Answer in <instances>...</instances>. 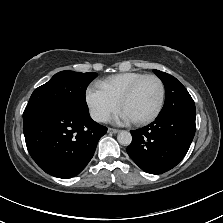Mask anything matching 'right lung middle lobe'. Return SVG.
<instances>
[{
    "mask_svg": "<svg viewBox=\"0 0 223 223\" xmlns=\"http://www.w3.org/2000/svg\"><path fill=\"white\" fill-rule=\"evenodd\" d=\"M97 73L61 71L32 93L23 117L49 111L75 112L88 115L85 92Z\"/></svg>",
    "mask_w": 223,
    "mask_h": 223,
    "instance_id": "obj_1",
    "label": "right lung middle lobe"
}]
</instances>
